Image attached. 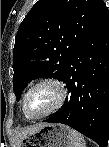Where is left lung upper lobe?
<instances>
[{
    "instance_id": "obj_1",
    "label": "left lung upper lobe",
    "mask_w": 109,
    "mask_h": 147,
    "mask_svg": "<svg viewBox=\"0 0 109 147\" xmlns=\"http://www.w3.org/2000/svg\"><path fill=\"white\" fill-rule=\"evenodd\" d=\"M107 9L103 0H39L26 15L15 38L13 91L38 77L63 81L69 61Z\"/></svg>"
}]
</instances>
